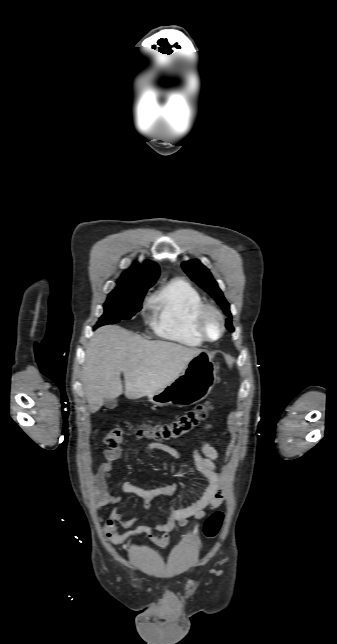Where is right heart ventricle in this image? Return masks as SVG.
I'll list each match as a JSON object with an SVG mask.
<instances>
[{
	"label": "right heart ventricle",
	"mask_w": 337,
	"mask_h": 644,
	"mask_svg": "<svg viewBox=\"0 0 337 644\" xmlns=\"http://www.w3.org/2000/svg\"><path fill=\"white\" fill-rule=\"evenodd\" d=\"M203 299L187 280L174 278L153 296L151 326L157 335L188 346H200L204 340L194 321Z\"/></svg>",
	"instance_id": "e07e8e85"
}]
</instances>
